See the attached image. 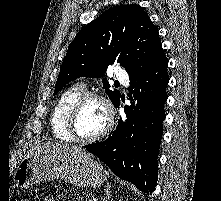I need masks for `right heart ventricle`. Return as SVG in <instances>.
Masks as SVG:
<instances>
[{"label": "right heart ventricle", "instance_id": "obj_1", "mask_svg": "<svg viewBox=\"0 0 221 201\" xmlns=\"http://www.w3.org/2000/svg\"><path fill=\"white\" fill-rule=\"evenodd\" d=\"M83 94L82 86H73L57 100L51 115V129L56 138L66 142L73 141L67 131V119L72 106Z\"/></svg>", "mask_w": 221, "mask_h": 201}]
</instances>
